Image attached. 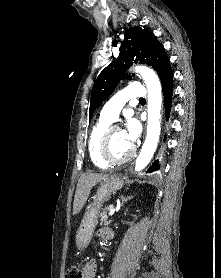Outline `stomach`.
Listing matches in <instances>:
<instances>
[{
    "mask_svg": "<svg viewBox=\"0 0 221 278\" xmlns=\"http://www.w3.org/2000/svg\"><path fill=\"white\" fill-rule=\"evenodd\" d=\"M123 179L118 175L106 177L94 196V201L86 208L80 227L76 234V247L84 250L90 243L94 229L98 223V214L104 201L123 187Z\"/></svg>",
    "mask_w": 221,
    "mask_h": 278,
    "instance_id": "0dacf381",
    "label": "stomach"
}]
</instances>
